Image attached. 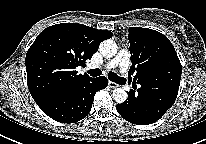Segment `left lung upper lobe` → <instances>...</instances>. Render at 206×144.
Returning <instances> with one entry per match:
<instances>
[{
  "label": "left lung upper lobe",
  "mask_w": 206,
  "mask_h": 144,
  "mask_svg": "<svg viewBox=\"0 0 206 144\" xmlns=\"http://www.w3.org/2000/svg\"><path fill=\"white\" fill-rule=\"evenodd\" d=\"M134 83L144 85L147 94L178 93L181 63L170 40L147 28L130 27L128 35Z\"/></svg>",
  "instance_id": "5c2ea615"
}]
</instances>
